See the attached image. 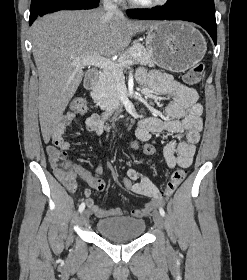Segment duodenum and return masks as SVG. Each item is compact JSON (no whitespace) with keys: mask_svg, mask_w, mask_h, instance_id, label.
<instances>
[{"mask_svg":"<svg viewBox=\"0 0 247 280\" xmlns=\"http://www.w3.org/2000/svg\"><path fill=\"white\" fill-rule=\"evenodd\" d=\"M98 78H99V72L97 70L90 71L87 74L86 79H85L86 89L92 90L96 86V84L98 82ZM131 111H132V108L128 107L122 111V114L125 116H129ZM111 114H112V112H108L104 115V117L107 118V117L111 116Z\"/></svg>","mask_w":247,"mask_h":280,"instance_id":"obj_1","label":"duodenum"}]
</instances>
